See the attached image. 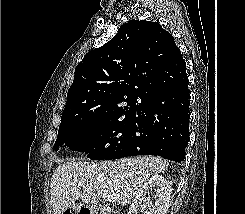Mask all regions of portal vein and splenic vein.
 <instances>
[{"label": "portal vein and splenic vein", "mask_w": 245, "mask_h": 214, "mask_svg": "<svg viewBox=\"0 0 245 214\" xmlns=\"http://www.w3.org/2000/svg\"><path fill=\"white\" fill-rule=\"evenodd\" d=\"M73 185H75V186H76V184H75V183H74ZM78 186H79V187H82V186H83V184L78 183ZM103 199H104V200H106V201L115 202V201H117V200H118V196H117V195H115V194H112V195H103Z\"/></svg>", "instance_id": "18ae733b"}]
</instances>
